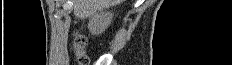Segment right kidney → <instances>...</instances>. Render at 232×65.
Returning a JSON list of instances; mask_svg holds the SVG:
<instances>
[{
  "label": "right kidney",
  "mask_w": 232,
  "mask_h": 65,
  "mask_svg": "<svg viewBox=\"0 0 232 65\" xmlns=\"http://www.w3.org/2000/svg\"><path fill=\"white\" fill-rule=\"evenodd\" d=\"M113 13L100 11L90 17L88 29L93 35H99L111 24Z\"/></svg>",
  "instance_id": "right-kidney-1"
}]
</instances>
